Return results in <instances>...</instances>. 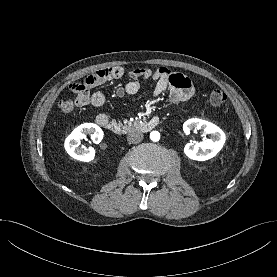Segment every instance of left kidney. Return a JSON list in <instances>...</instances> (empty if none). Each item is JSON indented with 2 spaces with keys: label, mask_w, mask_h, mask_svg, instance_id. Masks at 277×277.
<instances>
[{
  "label": "left kidney",
  "mask_w": 277,
  "mask_h": 277,
  "mask_svg": "<svg viewBox=\"0 0 277 277\" xmlns=\"http://www.w3.org/2000/svg\"><path fill=\"white\" fill-rule=\"evenodd\" d=\"M183 129L186 133H189L191 130H202L205 134L210 135V138H206L202 142L185 145L184 153L192 160L206 161L213 158L225 143L224 132L218 126L206 120L189 119L184 123Z\"/></svg>",
  "instance_id": "left-kidney-1"
}]
</instances>
